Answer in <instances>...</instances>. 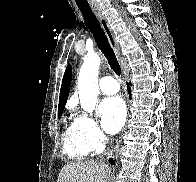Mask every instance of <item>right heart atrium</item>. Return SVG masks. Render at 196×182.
<instances>
[{
    "label": "right heart atrium",
    "mask_w": 196,
    "mask_h": 182,
    "mask_svg": "<svg viewBox=\"0 0 196 182\" xmlns=\"http://www.w3.org/2000/svg\"><path fill=\"white\" fill-rule=\"evenodd\" d=\"M75 121L81 140L88 151H100L106 144L107 138L100 129L97 121L87 115H80L75 119Z\"/></svg>",
    "instance_id": "1"
}]
</instances>
